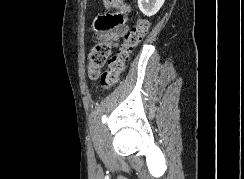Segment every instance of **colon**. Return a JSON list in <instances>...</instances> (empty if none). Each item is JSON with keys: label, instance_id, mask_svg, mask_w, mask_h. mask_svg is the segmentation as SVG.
<instances>
[{"label": "colon", "instance_id": "obj_1", "mask_svg": "<svg viewBox=\"0 0 244 179\" xmlns=\"http://www.w3.org/2000/svg\"><path fill=\"white\" fill-rule=\"evenodd\" d=\"M104 3H108L107 7L115 11L116 16L130 15L129 9L121 0H104ZM148 30L149 23L143 18L131 26L116 55L111 58L107 71L101 76L103 89H111L119 82L130 54L142 43ZM109 46L107 41L98 42L93 46L87 64V72L91 79L99 78L100 70L109 56Z\"/></svg>", "mask_w": 244, "mask_h": 179}]
</instances>
